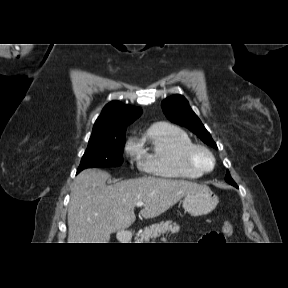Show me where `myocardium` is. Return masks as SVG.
Returning a JSON list of instances; mask_svg holds the SVG:
<instances>
[{"label": "myocardium", "mask_w": 288, "mask_h": 288, "mask_svg": "<svg viewBox=\"0 0 288 288\" xmlns=\"http://www.w3.org/2000/svg\"><path fill=\"white\" fill-rule=\"evenodd\" d=\"M205 153L211 160V166L209 168L203 167L197 160L198 153ZM184 161L190 168L198 171L201 174L211 173L216 167V157L214 153L205 145L191 144L184 152Z\"/></svg>", "instance_id": "f54148a6"}]
</instances>
